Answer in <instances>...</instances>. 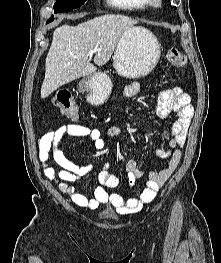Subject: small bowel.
<instances>
[{
  "label": "small bowel",
  "mask_w": 221,
  "mask_h": 263,
  "mask_svg": "<svg viewBox=\"0 0 221 263\" xmlns=\"http://www.w3.org/2000/svg\"><path fill=\"white\" fill-rule=\"evenodd\" d=\"M140 88L138 82H131L125 87L124 94L128 97L135 96L139 93ZM157 113L161 118H167L171 113H174V121L170 127L169 149L156 151L159 158L168 159V165L161 171L154 172L139 169L137 161L133 158L127 161L126 170L131 188L136 185L139 178L143 176L148 178L147 185L139 197L125 199L118 193L109 192L107 189L118 187L120 181L106 169L98 174L99 186L94 190L93 198H87L72 184L78 178L87 176L93 167L72 162L58 146L64 143L68 136L87 137L93 142L96 149H102L105 146V141L102 132L96 128L70 124L46 133L39 142V158L44 164L45 176L53 181L61 192L68 194L77 206L95 210L100 205H109L119 214H132L140 211L144 204L154 200L159 188L170 178L180 162L182 148L193 115L190 96L182 87L162 90L159 94ZM121 133L120 127L113 126L108 129L106 134L109 137H117ZM50 158L61 167V170L57 171L48 163ZM108 166L109 163H106L105 167Z\"/></svg>",
  "instance_id": "small-bowel-1"
}]
</instances>
